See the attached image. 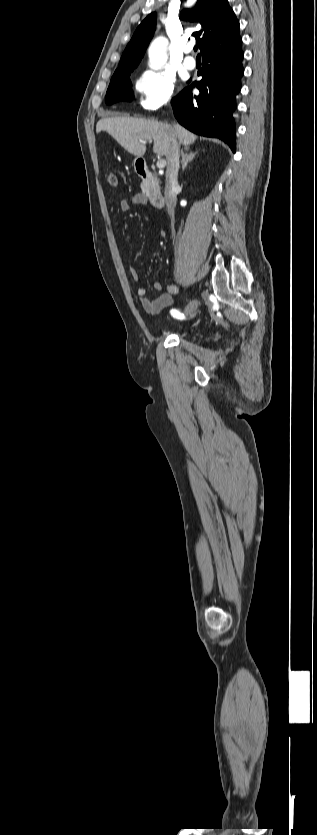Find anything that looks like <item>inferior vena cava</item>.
<instances>
[{
	"label": "inferior vena cava",
	"instance_id": "obj_1",
	"mask_svg": "<svg viewBox=\"0 0 317 835\" xmlns=\"http://www.w3.org/2000/svg\"><path fill=\"white\" fill-rule=\"evenodd\" d=\"M167 170H166V184H165V200L168 214L170 217L174 216V208L176 206V190L178 188V171L180 146L175 138H172L170 151L167 155Z\"/></svg>",
	"mask_w": 317,
	"mask_h": 835
}]
</instances>
